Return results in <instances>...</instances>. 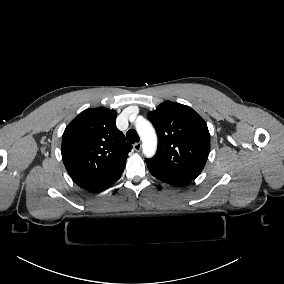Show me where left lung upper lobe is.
<instances>
[{
	"label": "left lung upper lobe",
	"mask_w": 284,
	"mask_h": 284,
	"mask_svg": "<svg viewBox=\"0 0 284 284\" xmlns=\"http://www.w3.org/2000/svg\"><path fill=\"white\" fill-rule=\"evenodd\" d=\"M156 128L158 151L147 166L171 175L195 179L203 170L209 151L210 134L203 118L192 108L164 102L148 113Z\"/></svg>",
	"instance_id": "5c2ea615"
}]
</instances>
